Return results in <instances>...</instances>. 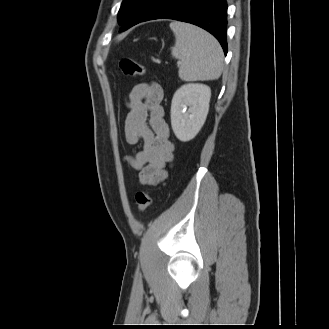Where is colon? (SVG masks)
<instances>
[{
    "label": "colon",
    "instance_id": "5ec220e1",
    "mask_svg": "<svg viewBox=\"0 0 329 329\" xmlns=\"http://www.w3.org/2000/svg\"><path fill=\"white\" fill-rule=\"evenodd\" d=\"M119 69L126 76H142L145 73L144 67L130 58L121 59ZM135 198L138 212L140 214L144 213L151 205L150 193L147 191H138Z\"/></svg>",
    "mask_w": 329,
    "mask_h": 329
}]
</instances>
